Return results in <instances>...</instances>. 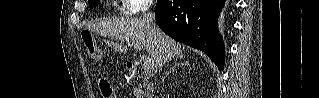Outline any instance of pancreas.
<instances>
[{"instance_id":"cf45deb5","label":"pancreas","mask_w":319,"mask_h":98,"mask_svg":"<svg viewBox=\"0 0 319 98\" xmlns=\"http://www.w3.org/2000/svg\"><path fill=\"white\" fill-rule=\"evenodd\" d=\"M142 81H140L138 88L134 90V95L136 98H143V96H148L153 91V86L149 80L148 75L141 76Z\"/></svg>"}]
</instances>
